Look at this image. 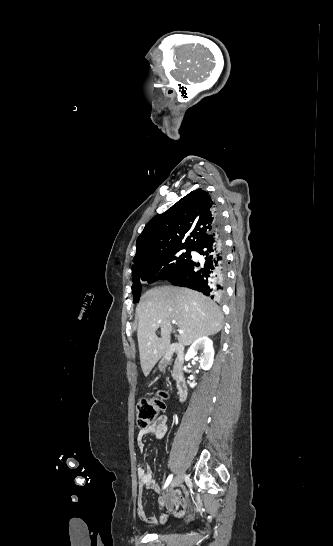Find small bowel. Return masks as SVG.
Segmentation results:
<instances>
[{"label":"small bowel","instance_id":"obj_1","mask_svg":"<svg viewBox=\"0 0 333 546\" xmlns=\"http://www.w3.org/2000/svg\"><path fill=\"white\" fill-rule=\"evenodd\" d=\"M168 431V417L161 415L148 428L141 429L137 435V445L140 451L145 449V437L153 435L156 439H163ZM139 479V493L137 496V514L138 517L153 526L164 524L169 514L183 516L189 507V501L183 496L181 491L168 492L159 500V514L149 515L142 501V488L158 491V485L151 469L146 464H140L137 468Z\"/></svg>","mask_w":333,"mask_h":546}]
</instances>
